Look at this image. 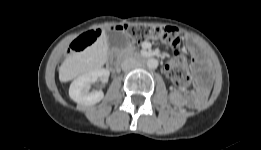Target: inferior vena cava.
Returning <instances> with one entry per match:
<instances>
[{"label": "inferior vena cava", "mask_w": 261, "mask_h": 150, "mask_svg": "<svg viewBox=\"0 0 261 150\" xmlns=\"http://www.w3.org/2000/svg\"><path fill=\"white\" fill-rule=\"evenodd\" d=\"M139 66L138 61L134 57H127L121 63L122 70L129 71Z\"/></svg>", "instance_id": "obj_1"}]
</instances>
